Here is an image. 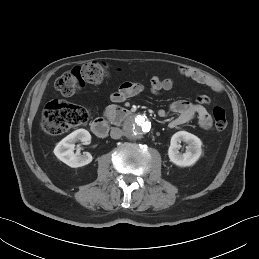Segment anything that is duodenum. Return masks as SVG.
Instances as JSON below:
<instances>
[{"label":"duodenum","mask_w":259,"mask_h":259,"mask_svg":"<svg viewBox=\"0 0 259 259\" xmlns=\"http://www.w3.org/2000/svg\"><path fill=\"white\" fill-rule=\"evenodd\" d=\"M108 119L115 121L120 117H128L131 115V112L127 109L110 106L108 109ZM91 130L97 137H105L109 131V122L105 118H97L91 123Z\"/></svg>","instance_id":"obj_1"}]
</instances>
